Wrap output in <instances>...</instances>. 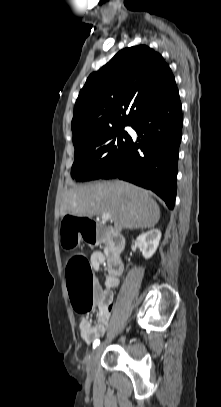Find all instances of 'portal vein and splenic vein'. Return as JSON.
<instances>
[{"label":"portal vein and splenic vein","instance_id":"obj_1","mask_svg":"<svg viewBox=\"0 0 221 407\" xmlns=\"http://www.w3.org/2000/svg\"><path fill=\"white\" fill-rule=\"evenodd\" d=\"M101 218H102V220L107 221V220L111 219V215L109 213H104V214H102Z\"/></svg>","mask_w":221,"mask_h":407}]
</instances>
